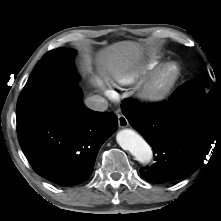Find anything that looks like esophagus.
Wrapping results in <instances>:
<instances>
[{"mask_svg":"<svg viewBox=\"0 0 221 221\" xmlns=\"http://www.w3.org/2000/svg\"><path fill=\"white\" fill-rule=\"evenodd\" d=\"M118 124L120 128H125L129 125V122L124 115L120 114L118 115Z\"/></svg>","mask_w":221,"mask_h":221,"instance_id":"1","label":"esophagus"}]
</instances>
